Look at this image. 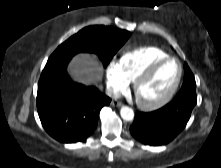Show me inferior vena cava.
<instances>
[{"label":"inferior vena cava","mask_w":221,"mask_h":168,"mask_svg":"<svg viewBox=\"0 0 221 168\" xmlns=\"http://www.w3.org/2000/svg\"><path fill=\"white\" fill-rule=\"evenodd\" d=\"M106 95L115 99L120 97V93L111 87L106 88Z\"/></svg>","instance_id":"1"}]
</instances>
